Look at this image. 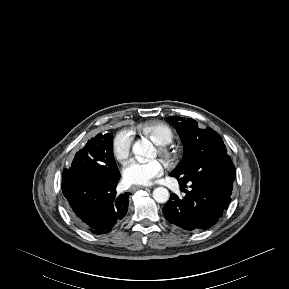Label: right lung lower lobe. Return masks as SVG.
Segmentation results:
<instances>
[{"instance_id": "obj_1", "label": "right lung lower lobe", "mask_w": 289, "mask_h": 289, "mask_svg": "<svg viewBox=\"0 0 289 289\" xmlns=\"http://www.w3.org/2000/svg\"><path fill=\"white\" fill-rule=\"evenodd\" d=\"M120 176L118 168L101 176L63 171L66 206L82 228L94 234H105L124 218L130 193H116Z\"/></svg>"}]
</instances>
